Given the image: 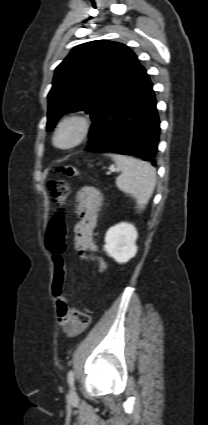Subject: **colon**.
<instances>
[{"instance_id": "1", "label": "colon", "mask_w": 208, "mask_h": 425, "mask_svg": "<svg viewBox=\"0 0 208 425\" xmlns=\"http://www.w3.org/2000/svg\"><path fill=\"white\" fill-rule=\"evenodd\" d=\"M58 172L67 178H76L79 175L77 168L72 165L61 166L58 168ZM48 188L52 197L59 203L65 200L70 191V187L64 179L50 180ZM65 233L64 209L60 206L52 218L46 234V245L53 253L54 274L51 291L55 298L64 297L65 269L62 254L66 251ZM75 249L81 259L93 262L100 272L106 270V262L103 258L88 255L82 248L75 247ZM70 313L76 323L83 328L87 327L91 322V316L88 313L78 311L72 307H70Z\"/></svg>"}]
</instances>
